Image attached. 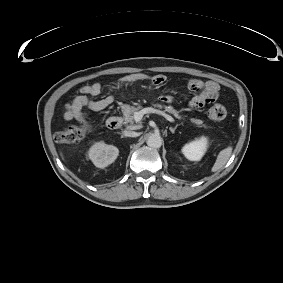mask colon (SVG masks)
<instances>
[{
  "label": "colon",
  "instance_id": "colon-1",
  "mask_svg": "<svg viewBox=\"0 0 283 283\" xmlns=\"http://www.w3.org/2000/svg\"><path fill=\"white\" fill-rule=\"evenodd\" d=\"M208 116L213 121H221L226 118L227 110L223 105L215 104L208 110ZM90 128L89 122L83 120L78 125L68 126L57 132L55 139L62 144L78 143L88 134Z\"/></svg>",
  "mask_w": 283,
  "mask_h": 283
}]
</instances>
